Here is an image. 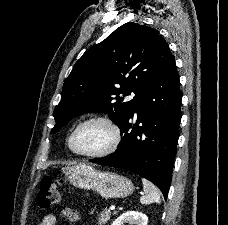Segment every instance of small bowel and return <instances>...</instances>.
I'll use <instances>...</instances> for the list:
<instances>
[{"label":"small bowel","mask_w":228,"mask_h":225,"mask_svg":"<svg viewBox=\"0 0 228 225\" xmlns=\"http://www.w3.org/2000/svg\"><path fill=\"white\" fill-rule=\"evenodd\" d=\"M62 214L71 222H77L79 220V215L77 211L72 208L66 207L63 208ZM57 217L53 213H49L43 216L39 225H56Z\"/></svg>","instance_id":"c3829d8e"}]
</instances>
